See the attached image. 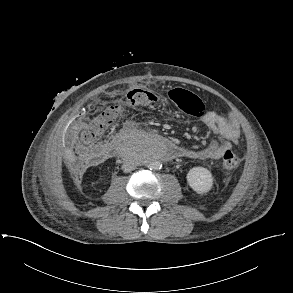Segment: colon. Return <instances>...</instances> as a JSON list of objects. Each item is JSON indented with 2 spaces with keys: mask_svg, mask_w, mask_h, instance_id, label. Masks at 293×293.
<instances>
[{
  "mask_svg": "<svg viewBox=\"0 0 293 293\" xmlns=\"http://www.w3.org/2000/svg\"><path fill=\"white\" fill-rule=\"evenodd\" d=\"M173 101L184 111L194 114L198 97L184 89L173 91ZM152 103L151 93L143 88H133L128 91L122 102L113 104L94 117L81 132L82 143L89 145L96 142L123 115L126 108L147 106ZM239 165V158L227 149L222 155V167L227 171L235 170Z\"/></svg>",
  "mask_w": 293,
  "mask_h": 293,
  "instance_id": "1",
  "label": "colon"
}]
</instances>
